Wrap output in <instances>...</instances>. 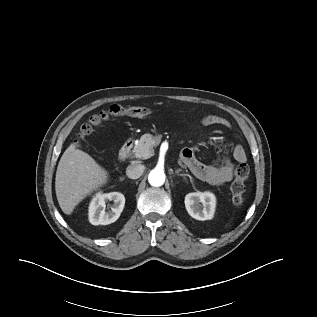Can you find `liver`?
Instances as JSON below:
<instances>
[{"label":"liver","mask_w":317,"mask_h":317,"mask_svg":"<svg viewBox=\"0 0 317 317\" xmlns=\"http://www.w3.org/2000/svg\"><path fill=\"white\" fill-rule=\"evenodd\" d=\"M107 171L90 155L71 144L56 171L55 191L62 211L69 215L88 194L107 183Z\"/></svg>","instance_id":"6515ba94"}]
</instances>
